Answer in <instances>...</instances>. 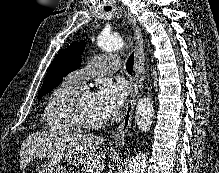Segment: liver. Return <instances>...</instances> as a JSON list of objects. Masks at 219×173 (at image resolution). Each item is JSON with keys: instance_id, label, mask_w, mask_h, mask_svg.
Masks as SVG:
<instances>
[{"instance_id": "6515ba94", "label": "liver", "mask_w": 219, "mask_h": 173, "mask_svg": "<svg viewBox=\"0 0 219 173\" xmlns=\"http://www.w3.org/2000/svg\"><path fill=\"white\" fill-rule=\"evenodd\" d=\"M104 138L95 135H67L60 138L48 132H36L26 138L20 151V169L33 157L64 158L73 166L83 164L85 173H100L105 168V153L98 152Z\"/></svg>"}]
</instances>
